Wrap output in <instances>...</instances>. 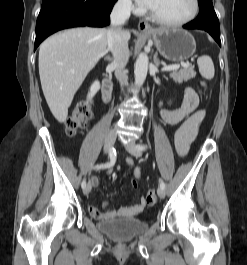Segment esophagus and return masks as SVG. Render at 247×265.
I'll return each mask as SVG.
<instances>
[{
    "label": "esophagus",
    "mask_w": 247,
    "mask_h": 265,
    "mask_svg": "<svg viewBox=\"0 0 247 265\" xmlns=\"http://www.w3.org/2000/svg\"><path fill=\"white\" fill-rule=\"evenodd\" d=\"M138 29L141 32H151L152 31L150 24L145 20H139Z\"/></svg>",
    "instance_id": "34e87169"
}]
</instances>
